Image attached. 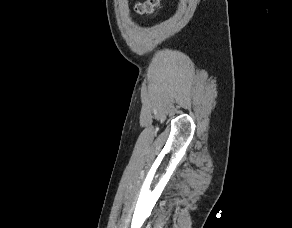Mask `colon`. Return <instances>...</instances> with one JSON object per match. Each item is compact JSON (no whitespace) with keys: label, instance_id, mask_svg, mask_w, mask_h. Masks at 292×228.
<instances>
[{"label":"colon","instance_id":"1","mask_svg":"<svg viewBox=\"0 0 292 228\" xmlns=\"http://www.w3.org/2000/svg\"><path fill=\"white\" fill-rule=\"evenodd\" d=\"M160 0H142L134 5V12L138 15H150L158 7Z\"/></svg>","mask_w":292,"mask_h":228}]
</instances>
